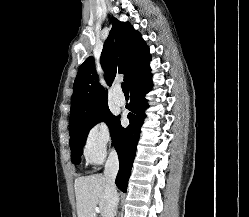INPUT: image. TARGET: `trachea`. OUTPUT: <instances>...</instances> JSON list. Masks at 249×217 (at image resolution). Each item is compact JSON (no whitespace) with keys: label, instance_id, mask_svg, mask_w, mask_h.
<instances>
[{"label":"trachea","instance_id":"1","mask_svg":"<svg viewBox=\"0 0 249 217\" xmlns=\"http://www.w3.org/2000/svg\"><path fill=\"white\" fill-rule=\"evenodd\" d=\"M121 87H122V90H123L124 94H129L128 86H127V83H126V82H123V83L121 84Z\"/></svg>","mask_w":249,"mask_h":217}]
</instances>
